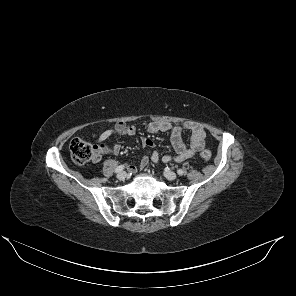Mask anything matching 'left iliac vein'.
<instances>
[{"label": "left iliac vein", "instance_id": "left-iliac-vein-1", "mask_svg": "<svg viewBox=\"0 0 296 296\" xmlns=\"http://www.w3.org/2000/svg\"><path fill=\"white\" fill-rule=\"evenodd\" d=\"M164 175L168 180H171V181H173L177 178L176 173L173 171H170V170H165Z\"/></svg>", "mask_w": 296, "mask_h": 296}]
</instances>
